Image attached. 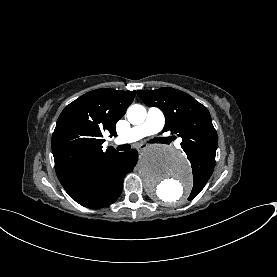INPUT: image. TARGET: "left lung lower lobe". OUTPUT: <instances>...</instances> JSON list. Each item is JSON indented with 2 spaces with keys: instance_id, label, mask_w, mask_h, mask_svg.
<instances>
[{
  "instance_id": "left-lung-lower-lobe-1",
  "label": "left lung lower lobe",
  "mask_w": 277,
  "mask_h": 277,
  "mask_svg": "<svg viewBox=\"0 0 277 277\" xmlns=\"http://www.w3.org/2000/svg\"><path fill=\"white\" fill-rule=\"evenodd\" d=\"M200 151H205L206 152V156L209 157V158L213 159V157H215L216 149H214V148H205V149H202ZM192 154H194V152ZM191 156L192 155H188L189 158Z\"/></svg>"
}]
</instances>
